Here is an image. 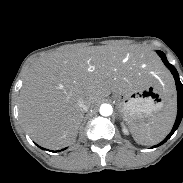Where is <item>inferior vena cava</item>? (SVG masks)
Here are the masks:
<instances>
[{"instance_id":"1","label":"inferior vena cava","mask_w":183,"mask_h":183,"mask_svg":"<svg viewBox=\"0 0 183 183\" xmlns=\"http://www.w3.org/2000/svg\"><path fill=\"white\" fill-rule=\"evenodd\" d=\"M78 106L79 108L82 110V111H88L89 107H90V104L85 101L84 99H79L78 101Z\"/></svg>"}]
</instances>
